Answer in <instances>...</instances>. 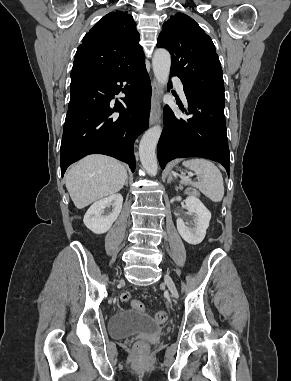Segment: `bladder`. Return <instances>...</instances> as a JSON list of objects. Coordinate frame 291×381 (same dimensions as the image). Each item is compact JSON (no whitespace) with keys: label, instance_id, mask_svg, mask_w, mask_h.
I'll return each mask as SVG.
<instances>
[{"label":"bladder","instance_id":"1","mask_svg":"<svg viewBox=\"0 0 291 381\" xmlns=\"http://www.w3.org/2000/svg\"><path fill=\"white\" fill-rule=\"evenodd\" d=\"M158 325L145 313L121 310L109 318L108 331L113 338L122 339L139 333L157 330Z\"/></svg>","mask_w":291,"mask_h":381}]
</instances>
